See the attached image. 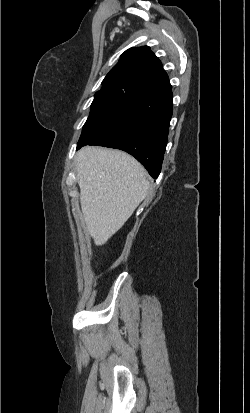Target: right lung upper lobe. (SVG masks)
I'll list each match as a JSON object with an SVG mask.
<instances>
[{"label": "right lung upper lobe", "instance_id": "obj_1", "mask_svg": "<svg viewBox=\"0 0 250 413\" xmlns=\"http://www.w3.org/2000/svg\"><path fill=\"white\" fill-rule=\"evenodd\" d=\"M102 85V89L133 91L139 96L171 89L161 62L147 46L126 50Z\"/></svg>", "mask_w": 250, "mask_h": 413}]
</instances>
